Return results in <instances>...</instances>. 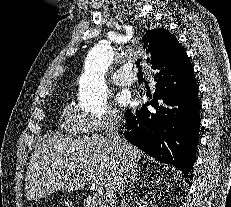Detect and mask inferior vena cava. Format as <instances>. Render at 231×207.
Instances as JSON below:
<instances>
[{
    "instance_id": "obj_1",
    "label": "inferior vena cava",
    "mask_w": 231,
    "mask_h": 207,
    "mask_svg": "<svg viewBox=\"0 0 231 207\" xmlns=\"http://www.w3.org/2000/svg\"><path fill=\"white\" fill-rule=\"evenodd\" d=\"M106 132H107L108 140L111 146L115 150H119L121 143H122V139L119 133V123H118L117 117H114L112 118V120H110V123L108 124L107 129H106ZM127 177H128V174L123 172L121 173V175L119 176L117 180V192H118V195L122 198V204H125V199L123 195L126 189Z\"/></svg>"
}]
</instances>
